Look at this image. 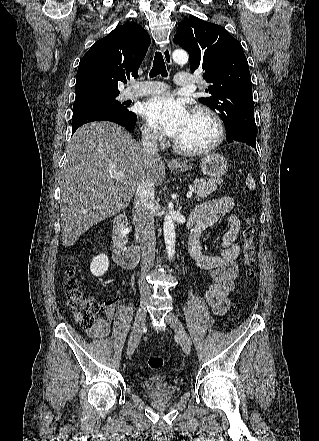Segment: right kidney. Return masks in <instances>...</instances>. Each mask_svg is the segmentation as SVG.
Here are the masks:
<instances>
[{"instance_id": "ca27d5eb", "label": "right kidney", "mask_w": 319, "mask_h": 441, "mask_svg": "<svg viewBox=\"0 0 319 441\" xmlns=\"http://www.w3.org/2000/svg\"><path fill=\"white\" fill-rule=\"evenodd\" d=\"M109 268V260L107 255L100 254L95 256L90 264V271L94 276H102Z\"/></svg>"}]
</instances>
